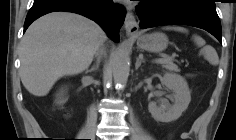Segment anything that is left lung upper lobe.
I'll list each match as a JSON object with an SVG mask.
<instances>
[{"instance_id": "1", "label": "left lung upper lobe", "mask_w": 236, "mask_h": 140, "mask_svg": "<svg viewBox=\"0 0 236 140\" xmlns=\"http://www.w3.org/2000/svg\"><path fill=\"white\" fill-rule=\"evenodd\" d=\"M195 1H200V2H205V3H211V4H215L214 0H195Z\"/></svg>"}]
</instances>
